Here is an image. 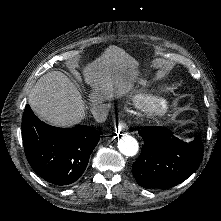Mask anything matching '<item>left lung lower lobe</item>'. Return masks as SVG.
Returning a JSON list of instances; mask_svg holds the SVG:
<instances>
[{"label": "left lung lower lobe", "mask_w": 221, "mask_h": 221, "mask_svg": "<svg viewBox=\"0 0 221 221\" xmlns=\"http://www.w3.org/2000/svg\"><path fill=\"white\" fill-rule=\"evenodd\" d=\"M139 134L144 145L132 169L141 187H174L199 167L203 157V144L199 136L187 143L174 136L168 128L158 126L145 127Z\"/></svg>", "instance_id": "1"}]
</instances>
